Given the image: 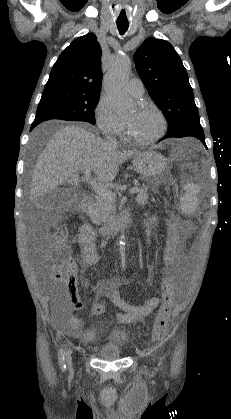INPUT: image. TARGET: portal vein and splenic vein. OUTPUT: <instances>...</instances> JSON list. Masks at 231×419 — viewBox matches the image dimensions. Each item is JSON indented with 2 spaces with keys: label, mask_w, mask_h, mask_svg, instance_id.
Wrapping results in <instances>:
<instances>
[{
  "label": "portal vein and splenic vein",
  "mask_w": 231,
  "mask_h": 419,
  "mask_svg": "<svg viewBox=\"0 0 231 419\" xmlns=\"http://www.w3.org/2000/svg\"><path fill=\"white\" fill-rule=\"evenodd\" d=\"M84 179L89 182V184L91 185L92 189L95 191V193H97L99 196L109 199V200H115L116 195L115 193H113L111 190L105 188L103 185L95 182L94 180L91 179V170H85L84 171ZM139 192V188H132L130 190L131 194H136Z\"/></svg>",
  "instance_id": "18ae733b"
}]
</instances>
